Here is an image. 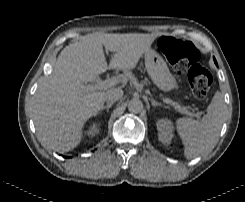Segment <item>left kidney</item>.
I'll use <instances>...</instances> for the list:
<instances>
[{"label": "left kidney", "instance_id": "1", "mask_svg": "<svg viewBox=\"0 0 245 202\" xmlns=\"http://www.w3.org/2000/svg\"><path fill=\"white\" fill-rule=\"evenodd\" d=\"M159 141L169 145L174 137L172 122L168 119H160L156 123Z\"/></svg>", "mask_w": 245, "mask_h": 202}]
</instances>
